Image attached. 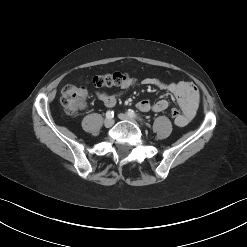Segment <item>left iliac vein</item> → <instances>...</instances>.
Masks as SVG:
<instances>
[{
  "label": "left iliac vein",
  "mask_w": 247,
  "mask_h": 247,
  "mask_svg": "<svg viewBox=\"0 0 247 247\" xmlns=\"http://www.w3.org/2000/svg\"><path fill=\"white\" fill-rule=\"evenodd\" d=\"M118 117L121 119V120H128V121H131L133 123H136L135 119L127 114H124V113H121L118 115Z\"/></svg>",
  "instance_id": "1"
}]
</instances>
